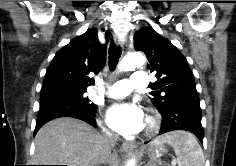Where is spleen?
<instances>
[{
  "mask_svg": "<svg viewBox=\"0 0 236 166\" xmlns=\"http://www.w3.org/2000/svg\"><path fill=\"white\" fill-rule=\"evenodd\" d=\"M154 143L170 145L177 156L178 166H205L203 151L195 136L186 131H173L156 138Z\"/></svg>",
  "mask_w": 236,
  "mask_h": 166,
  "instance_id": "3e777b00",
  "label": "spleen"
}]
</instances>
